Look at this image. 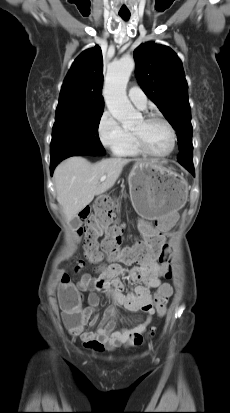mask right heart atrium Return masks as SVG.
I'll return each mask as SVG.
<instances>
[{
  "label": "right heart atrium",
  "instance_id": "d8ad5b80",
  "mask_svg": "<svg viewBox=\"0 0 230 413\" xmlns=\"http://www.w3.org/2000/svg\"><path fill=\"white\" fill-rule=\"evenodd\" d=\"M97 133L101 144L114 154H118L130 138V132L108 110L100 116Z\"/></svg>",
  "mask_w": 230,
  "mask_h": 413
}]
</instances>
